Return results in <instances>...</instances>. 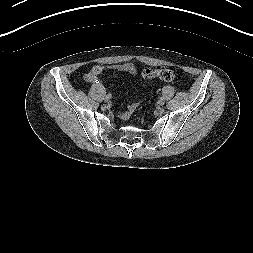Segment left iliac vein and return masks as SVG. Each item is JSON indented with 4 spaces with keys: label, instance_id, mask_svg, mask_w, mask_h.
Here are the masks:
<instances>
[{
    "label": "left iliac vein",
    "instance_id": "obj_1",
    "mask_svg": "<svg viewBox=\"0 0 253 253\" xmlns=\"http://www.w3.org/2000/svg\"><path fill=\"white\" fill-rule=\"evenodd\" d=\"M160 106L163 105V102L162 103H158Z\"/></svg>",
    "mask_w": 253,
    "mask_h": 253
}]
</instances>
